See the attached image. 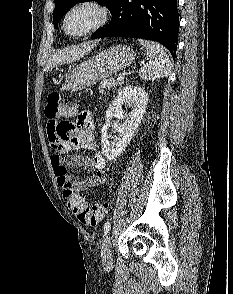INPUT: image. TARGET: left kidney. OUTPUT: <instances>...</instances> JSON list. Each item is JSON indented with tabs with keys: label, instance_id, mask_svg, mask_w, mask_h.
Wrapping results in <instances>:
<instances>
[{
	"label": "left kidney",
	"instance_id": "obj_1",
	"mask_svg": "<svg viewBox=\"0 0 233 294\" xmlns=\"http://www.w3.org/2000/svg\"><path fill=\"white\" fill-rule=\"evenodd\" d=\"M148 102L147 93L141 88L133 85L124 87L106 111L105 124L101 130L102 153L108 160L119 157L130 143L145 113ZM131 108V112L126 114L122 105ZM112 117L125 119L124 124L115 123L113 128L118 132L119 138L113 142L109 141L110 136L107 131L111 126Z\"/></svg>",
	"mask_w": 233,
	"mask_h": 294
}]
</instances>
